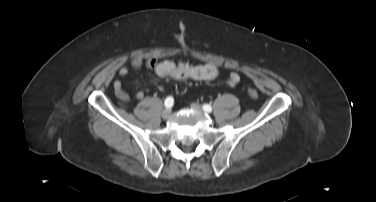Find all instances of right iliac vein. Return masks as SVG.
<instances>
[{"instance_id": "right-iliac-vein-1", "label": "right iliac vein", "mask_w": 376, "mask_h": 202, "mask_svg": "<svg viewBox=\"0 0 376 202\" xmlns=\"http://www.w3.org/2000/svg\"><path fill=\"white\" fill-rule=\"evenodd\" d=\"M171 115V110L169 108L163 110L162 112V118L163 119H168Z\"/></svg>"}]
</instances>
